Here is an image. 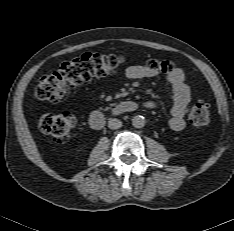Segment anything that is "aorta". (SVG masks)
<instances>
[{
    "mask_svg": "<svg viewBox=\"0 0 234 231\" xmlns=\"http://www.w3.org/2000/svg\"><path fill=\"white\" fill-rule=\"evenodd\" d=\"M132 125L135 128H142L145 125V118L141 115L134 116L132 119Z\"/></svg>",
    "mask_w": 234,
    "mask_h": 231,
    "instance_id": "1",
    "label": "aorta"
}]
</instances>
